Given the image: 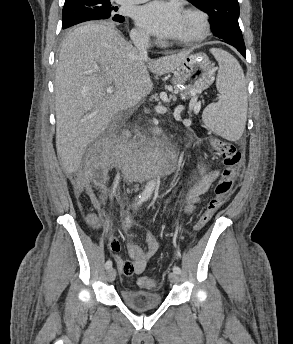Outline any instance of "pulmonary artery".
Segmentation results:
<instances>
[{
	"instance_id": "e3ab8cb5",
	"label": "pulmonary artery",
	"mask_w": 293,
	"mask_h": 344,
	"mask_svg": "<svg viewBox=\"0 0 293 344\" xmlns=\"http://www.w3.org/2000/svg\"><path fill=\"white\" fill-rule=\"evenodd\" d=\"M117 3L120 4H139L146 2L147 0H115Z\"/></svg>"
}]
</instances>
